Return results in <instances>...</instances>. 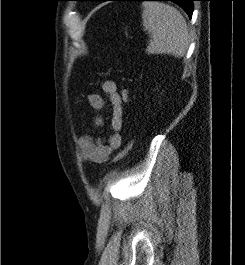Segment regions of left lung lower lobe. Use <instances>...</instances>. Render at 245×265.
<instances>
[{"label":"left lung lower lobe","instance_id":"1","mask_svg":"<svg viewBox=\"0 0 245 265\" xmlns=\"http://www.w3.org/2000/svg\"><path fill=\"white\" fill-rule=\"evenodd\" d=\"M93 1V0H91ZM101 1H109V0H101ZM111 1H147V0H111ZM151 1H172L180 5L191 18L193 12V1L197 0H151Z\"/></svg>","mask_w":245,"mask_h":265}]
</instances>
